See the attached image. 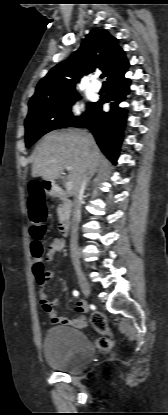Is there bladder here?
Instances as JSON below:
<instances>
[{"instance_id":"obj_1","label":"bladder","mask_w":168,"mask_h":415,"mask_svg":"<svg viewBox=\"0 0 168 415\" xmlns=\"http://www.w3.org/2000/svg\"><path fill=\"white\" fill-rule=\"evenodd\" d=\"M43 352L50 367L69 374L82 372L95 356L92 343L81 331L63 325L47 330Z\"/></svg>"}]
</instances>
